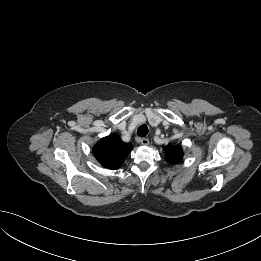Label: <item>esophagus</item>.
Returning <instances> with one entry per match:
<instances>
[{
  "label": "esophagus",
  "instance_id": "34e87169",
  "mask_svg": "<svg viewBox=\"0 0 261 261\" xmlns=\"http://www.w3.org/2000/svg\"><path fill=\"white\" fill-rule=\"evenodd\" d=\"M138 142L141 144V145H148L149 144V139L147 138H139Z\"/></svg>",
  "mask_w": 261,
  "mask_h": 261
}]
</instances>
